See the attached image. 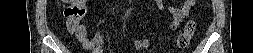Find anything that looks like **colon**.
<instances>
[{
	"mask_svg": "<svg viewBox=\"0 0 253 53\" xmlns=\"http://www.w3.org/2000/svg\"><path fill=\"white\" fill-rule=\"evenodd\" d=\"M85 1H73L72 5L65 9V16L67 18V27L70 31H76L82 23V20L86 16L87 9L84 6ZM196 30V23L190 20L186 23L182 33L179 34L176 40V44L179 48H186ZM135 46L138 49H143L147 46V42L144 40H136Z\"/></svg>",
	"mask_w": 253,
	"mask_h": 53,
	"instance_id": "obj_1",
	"label": "colon"
}]
</instances>
